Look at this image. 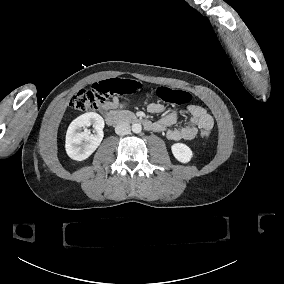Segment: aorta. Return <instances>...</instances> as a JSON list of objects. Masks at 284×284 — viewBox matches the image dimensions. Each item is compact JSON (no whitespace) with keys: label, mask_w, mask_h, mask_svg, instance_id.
Returning <instances> with one entry per match:
<instances>
[{"label":"aorta","mask_w":284,"mask_h":284,"mask_svg":"<svg viewBox=\"0 0 284 284\" xmlns=\"http://www.w3.org/2000/svg\"><path fill=\"white\" fill-rule=\"evenodd\" d=\"M141 130H142L141 124H139V123H134V124L132 125V131H133L134 133H140Z\"/></svg>","instance_id":"obj_1"}]
</instances>
